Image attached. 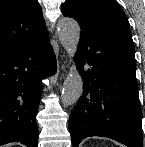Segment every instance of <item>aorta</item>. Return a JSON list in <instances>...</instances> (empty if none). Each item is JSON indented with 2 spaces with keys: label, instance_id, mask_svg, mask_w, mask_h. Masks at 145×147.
I'll list each match as a JSON object with an SVG mask.
<instances>
[{
  "label": "aorta",
  "instance_id": "1",
  "mask_svg": "<svg viewBox=\"0 0 145 147\" xmlns=\"http://www.w3.org/2000/svg\"><path fill=\"white\" fill-rule=\"evenodd\" d=\"M58 37L68 54L73 59L80 39L79 24L72 18H62L58 22ZM83 81L74 62H71L68 75L63 84L61 101L64 105H73L81 97Z\"/></svg>",
  "mask_w": 145,
  "mask_h": 147
}]
</instances>
